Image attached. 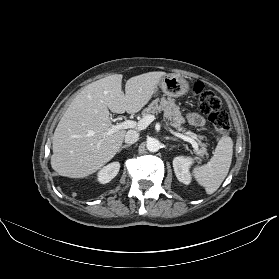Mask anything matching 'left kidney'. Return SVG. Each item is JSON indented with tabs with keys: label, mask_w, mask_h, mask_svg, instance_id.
Returning <instances> with one entry per match:
<instances>
[{
	"label": "left kidney",
	"mask_w": 279,
	"mask_h": 279,
	"mask_svg": "<svg viewBox=\"0 0 279 279\" xmlns=\"http://www.w3.org/2000/svg\"><path fill=\"white\" fill-rule=\"evenodd\" d=\"M193 159L190 157L178 156L173 160V168L177 179L188 185L191 183L192 177L189 171Z\"/></svg>",
	"instance_id": "obj_1"
}]
</instances>
